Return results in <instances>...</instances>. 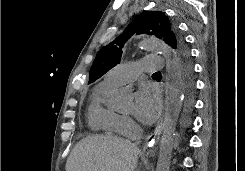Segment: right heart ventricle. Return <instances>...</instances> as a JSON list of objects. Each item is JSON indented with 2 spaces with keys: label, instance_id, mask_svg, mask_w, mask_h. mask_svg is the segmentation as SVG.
Segmentation results:
<instances>
[{
  "label": "right heart ventricle",
  "instance_id": "obj_1",
  "mask_svg": "<svg viewBox=\"0 0 245 171\" xmlns=\"http://www.w3.org/2000/svg\"><path fill=\"white\" fill-rule=\"evenodd\" d=\"M114 87L102 81L93 90L88 107V124L94 131L119 133L116 128L119 115L105 105V99Z\"/></svg>",
  "mask_w": 245,
  "mask_h": 171
}]
</instances>
